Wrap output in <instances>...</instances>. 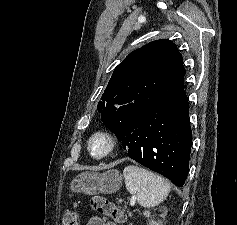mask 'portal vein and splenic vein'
Instances as JSON below:
<instances>
[{
  "label": "portal vein and splenic vein",
  "instance_id": "18ae733b",
  "mask_svg": "<svg viewBox=\"0 0 237 225\" xmlns=\"http://www.w3.org/2000/svg\"><path fill=\"white\" fill-rule=\"evenodd\" d=\"M135 202H136V198H131V200H130V205L131 206H134L135 205Z\"/></svg>",
  "mask_w": 237,
  "mask_h": 225
}]
</instances>
